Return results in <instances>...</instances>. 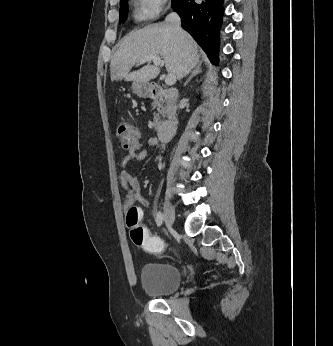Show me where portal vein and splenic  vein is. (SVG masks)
Here are the masks:
<instances>
[{
  "label": "portal vein and splenic vein",
  "instance_id": "obj_1",
  "mask_svg": "<svg viewBox=\"0 0 333 346\" xmlns=\"http://www.w3.org/2000/svg\"><path fill=\"white\" fill-rule=\"evenodd\" d=\"M153 62L155 66H160L162 64L161 58L159 56H149L142 60H140V63H146V62ZM165 83L168 86H172L176 83V76L174 74H168L165 77Z\"/></svg>",
  "mask_w": 333,
  "mask_h": 346
}]
</instances>
